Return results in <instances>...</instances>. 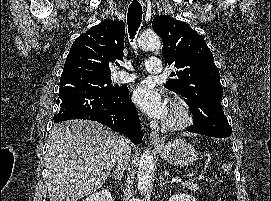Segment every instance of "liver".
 <instances>
[{"instance_id": "liver-1", "label": "liver", "mask_w": 271, "mask_h": 201, "mask_svg": "<svg viewBox=\"0 0 271 201\" xmlns=\"http://www.w3.org/2000/svg\"><path fill=\"white\" fill-rule=\"evenodd\" d=\"M119 149L117 135L97 122L69 120L54 125L46 161L50 201H77L98 190Z\"/></svg>"}]
</instances>
